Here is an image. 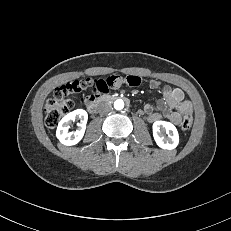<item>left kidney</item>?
<instances>
[{"mask_svg":"<svg viewBox=\"0 0 231 231\" xmlns=\"http://www.w3.org/2000/svg\"><path fill=\"white\" fill-rule=\"evenodd\" d=\"M166 132L168 138L163 133ZM153 137L156 144L166 150H172L179 143V135L176 127L167 121H156L153 123Z\"/></svg>","mask_w":231,"mask_h":231,"instance_id":"1","label":"left kidney"}]
</instances>
